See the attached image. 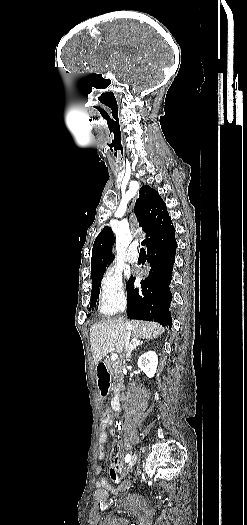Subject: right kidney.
Wrapping results in <instances>:
<instances>
[{
	"mask_svg": "<svg viewBox=\"0 0 247 525\" xmlns=\"http://www.w3.org/2000/svg\"><path fill=\"white\" fill-rule=\"evenodd\" d=\"M137 365L145 373L146 377L152 379L157 371L158 355H156L155 351H148V353H144V355L139 357Z\"/></svg>",
	"mask_w": 247,
	"mask_h": 525,
	"instance_id": "1",
	"label": "right kidney"
}]
</instances>
